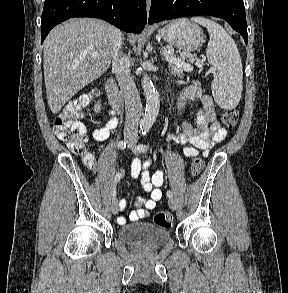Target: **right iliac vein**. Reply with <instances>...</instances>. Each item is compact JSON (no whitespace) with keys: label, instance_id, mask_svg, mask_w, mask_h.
Returning a JSON list of instances; mask_svg holds the SVG:
<instances>
[{"label":"right iliac vein","instance_id":"1","mask_svg":"<svg viewBox=\"0 0 288 293\" xmlns=\"http://www.w3.org/2000/svg\"><path fill=\"white\" fill-rule=\"evenodd\" d=\"M126 142H127V144H128V147H132L133 146V143H132V141L130 140V139H126ZM111 211H112V213L114 214V215H116L117 213H118V211H119V205H118V201L116 200V199H114L113 201H112V205H111Z\"/></svg>","mask_w":288,"mask_h":293}]
</instances>
